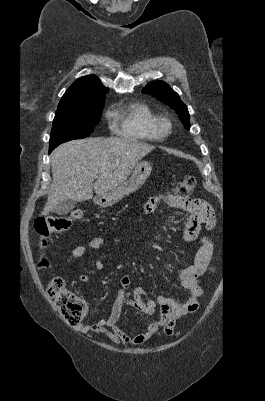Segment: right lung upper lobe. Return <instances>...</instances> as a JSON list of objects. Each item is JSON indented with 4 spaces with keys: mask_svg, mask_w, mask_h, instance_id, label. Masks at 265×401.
<instances>
[{
    "mask_svg": "<svg viewBox=\"0 0 265 401\" xmlns=\"http://www.w3.org/2000/svg\"><path fill=\"white\" fill-rule=\"evenodd\" d=\"M108 92L99 78L95 75H87L77 79L62 96L58 106L69 103L96 100L106 98Z\"/></svg>",
    "mask_w": 265,
    "mask_h": 401,
    "instance_id": "1",
    "label": "right lung upper lobe"
}]
</instances>
